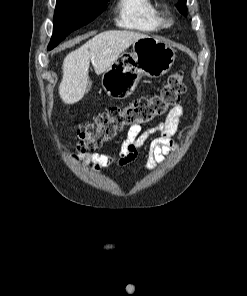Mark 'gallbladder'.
<instances>
[{"mask_svg":"<svg viewBox=\"0 0 247 296\" xmlns=\"http://www.w3.org/2000/svg\"><path fill=\"white\" fill-rule=\"evenodd\" d=\"M91 87V82L88 83V89Z\"/></svg>","mask_w":247,"mask_h":296,"instance_id":"obj_1","label":"gallbladder"}]
</instances>
